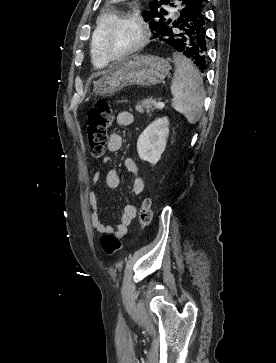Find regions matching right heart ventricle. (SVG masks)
Instances as JSON below:
<instances>
[{
	"mask_svg": "<svg viewBox=\"0 0 276 363\" xmlns=\"http://www.w3.org/2000/svg\"><path fill=\"white\" fill-rule=\"evenodd\" d=\"M114 17V13L110 9L104 10L97 19V27L92 41V58L93 63L98 68H103L108 65V62L103 58L99 49V36L104 27Z\"/></svg>",
	"mask_w": 276,
	"mask_h": 363,
	"instance_id": "e07e8e85",
	"label": "right heart ventricle"
}]
</instances>
